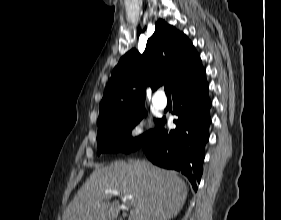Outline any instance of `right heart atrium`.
<instances>
[{
	"mask_svg": "<svg viewBox=\"0 0 281 220\" xmlns=\"http://www.w3.org/2000/svg\"><path fill=\"white\" fill-rule=\"evenodd\" d=\"M147 129V123L144 117L138 116L135 118L127 129V138L130 141H136L141 139Z\"/></svg>",
	"mask_w": 281,
	"mask_h": 220,
	"instance_id": "d8ad5b80",
	"label": "right heart atrium"
}]
</instances>
